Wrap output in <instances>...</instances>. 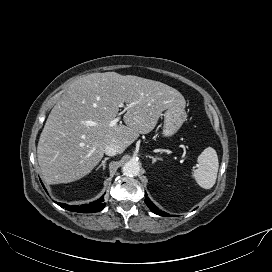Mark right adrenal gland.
<instances>
[{
  "mask_svg": "<svg viewBox=\"0 0 272 272\" xmlns=\"http://www.w3.org/2000/svg\"><path fill=\"white\" fill-rule=\"evenodd\" d=\"M109 159H110L109 157H105L104 160L101 162V164L96 168V170H99L102 167V169L104 171L106 168V161Z\"/></svg>",
  "mask_w": 272,
  "mask_h": 272,
  "instance_id": "1",
  "label": "right adrenal gland"
}]
</instances>
